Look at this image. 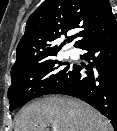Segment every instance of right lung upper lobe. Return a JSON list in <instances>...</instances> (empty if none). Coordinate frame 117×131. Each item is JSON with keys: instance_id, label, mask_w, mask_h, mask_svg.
<instances>
[{"instance_id": "1", "label": "right lung upper lobe", "mask_w": 117, "mask_h": 131, "mask_svg": "<svg viewBox=\"0 0 117 131\" xmlns=\"http://www.w3.org/2000/svg\"><path fill=\"white\" fill-rule=\"evenodd\" d=\"M116 26L108 0H45L28 18L11 70L58 52L66 41L71 42L75 38L78 40L74 46L81 48ZM72 30L79 32L67 37V32ZM61 35L67 39L57 43Z\"/></svg>"}]
</instances>
